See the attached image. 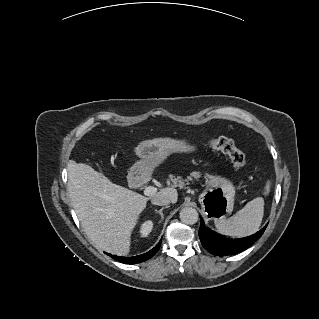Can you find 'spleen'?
Here are the masks:
<instances>
[{"instance_id": "spleen-1", "label": "spleen", "mask_w": 319, "mask_h": 319, "mask_svg": "<svg viewBox=\"0 0 319 319\" xmlns=\"http://www.w3.org/2000/svg\"><path fill=\"white\" fill-rule=\"evenodd\" d=\"M270 180L266 181L264 192L270 193ZM264 212V200L256 198L248 203L242 210L225 221H216L218 231L230 237H244L255 233L262 221Z\"/></svg>"}]
</instances>
